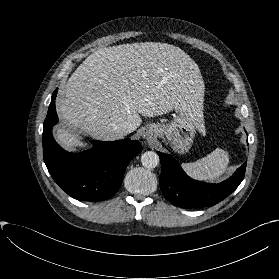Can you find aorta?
<instances>
[{
	"mask_svg": "<svg viewBox=\"0 0 279 279\" xmlns=\"http://www.w3.org/2000/svg\"><path fill=\"white\" fill-rule=\"evenodd\" d=\"M159 156L153 151H146L141 155V163L145 168L152 169L158 166Z\"/></svg>",
	"mask_w": 279,
	"mask_h": 279,
	"instance_id": "1",
	"label": "aorta"
}]
</instances>
